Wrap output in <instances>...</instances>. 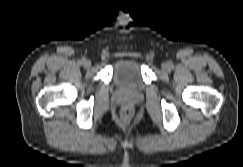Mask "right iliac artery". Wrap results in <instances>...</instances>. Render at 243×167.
<instances>
[{"label":"right iliac artery","instance_id":"obj_1","mask_svg":"<svg viewBox=\"0 0 243 167\" xmlns=\"http://www.w3.org/2000/svg\"><path fill=\"white\" fill-rule=\"evenodd\" d=\"M85 61V59H82L81 61H80V64L82 63V62H84Z\"/></svg>","mask_w":243,"mask_h":167}]
</instances>
